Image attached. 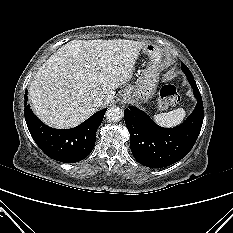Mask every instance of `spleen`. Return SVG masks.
I'll list each match as a JSON object with an SVG mask.
<instances>
[{"instance_id":"obj_1","label":"spleen","mask_w":233,"mask_h":233,"mask_svg":"<svg viewBox=\"0 0 233 233\" xmlns=\"http://www.w3.org/2000/svg\"><path fill=\"white\" fill-rule=\"evenodd\" d=\"M185 115L186 112L183 108H177L167 113L154 115V120L158 125L170 128L180 124Z\"/></svg>"}]
</instances>
